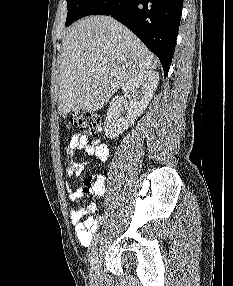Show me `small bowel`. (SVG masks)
Returning <instances> with one entry per match:
<instances>
[{
  "instance_id": "small-bowel-1",
  "label": "small bowel",
  "mask_w": 233,
  "mask_h": 286,
  "mask_svg": "<svg viewBox=\"0 0 233 286\" xmlns=\"http://www.w3.org/2000/svg\"><path fill=\"white\" fill-rule=\"evenodd\" d=\"M77 150H83L90 158L84 162L75 161L74 154ZM65 155L68 161L66 175L73 177L81 175L85 164L90 162L93 157H97L100 161H106L109 156V149L103 143L89 144L85 135L76 133L69 142ZM66 189L71 201H76L86 193L83 187H74L69 183L66 184ZM103 193L104 188L93 194L102 195ZM96 208V203L90 202L70 212V222L74 225L77 239L83 246H88L91 243L93 234L100 225L101 217L92 215Z\"/></svg>"
}]
</instances>
